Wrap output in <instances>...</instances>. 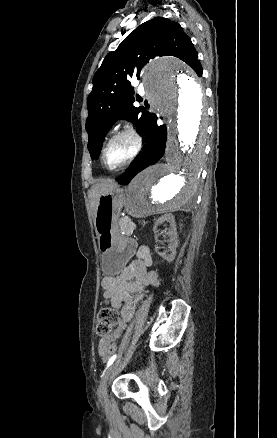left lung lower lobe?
Masks as SVG:
<instances>
[{"label":"left lung lower lobe","instance_id":"0a47b994","mask_svg":"<svg viewBox=\"0 0 277 438\" xmlns=\"http://www.w3.org/2000/svg\"><path fill=\"white\" fill-rule=\"evenodd\" d=\"M156 120L157 117L153 114L150 118L151 123L146 134L147 141L142 156L137 158V160L117 178L118 183L127 185L136 174L150 165L156 164L163 157L167 140V129L165 125L158 126Z\"/></svg>","mask_w":277,"mask_h":438}]
</instances>
